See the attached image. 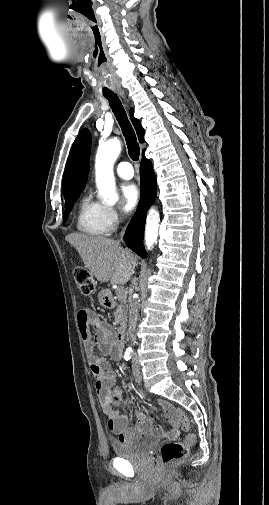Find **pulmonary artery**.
Here are the masks:
<instances>
[{
	"label": "pulmonary artery",
	"mask_w": 269,
	"mask_h": 505,
	"mask_svg": "<svg viewBox=\"0 0 269 505\" xmlns=\"http://www.w3.org/2000/svg\"><path fill=\"white\" fill-rule=\"evenodd\" d=\"M116 172L123 179H131L134 175L132 165L129 162H120L116 167Z\"/></svg>",
	"instance_id": "pulmonary-artery-1"
}]
</instances>
